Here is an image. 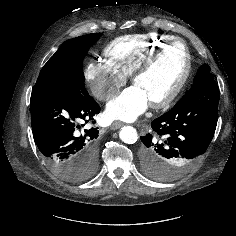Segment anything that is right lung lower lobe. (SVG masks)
I'll return each mask as SVG.
<instances>
[{
    "label": "right lung lower lobe",
    "instance_id": "obj_1",
    "mask_svg": "<svg viewBox=\"0 0 236 236\" xmlns=\"http://www.w3.org/2000/svg\"><path fill=\"white\" fill-rule=\"evenodd\" d=\"M30 109L34 141L60 176L70 171L65 166L97 160L98 130L82 128L100 112L88 92L77 87L34 86Z\"/></svg>",
    "mask_w": 236,
    "mask_h": 236
}]
</instances>
